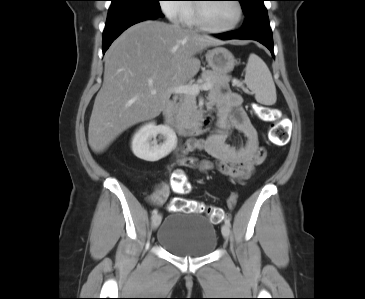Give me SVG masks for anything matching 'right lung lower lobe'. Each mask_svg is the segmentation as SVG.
<instances>
[{
	"label": "right lung lower lobe",
	"mask_w": 365,
	"mask_h": 299,
	"mask_svg": "<svg viewBox=\"0 0 365 299\" xmlns=\"http://www.w3.org/2000/svg\"><path fill=\"white\" fill-rule=\"evenodd\" d=\"M163 17L161 10L153 9H133L110 15L103 32V54L111 43L128 27L149 19Z\"/></svg>",
	"instance_id": "1"
}]
</instances>
